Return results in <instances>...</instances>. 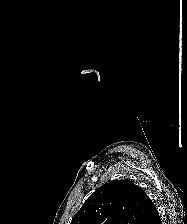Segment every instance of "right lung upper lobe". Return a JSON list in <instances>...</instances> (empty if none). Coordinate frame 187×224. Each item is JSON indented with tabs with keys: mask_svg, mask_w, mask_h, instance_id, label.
Returning a JSON list of instances; mask_svg holds the SVG:
<instances>
[{
	"mask_svg": "<svg viewBox=\"0 0 187 224\" xmlns=\"http://www.w3.org/2000/svg\"><path fill=\"white\" fill-rule=\"evenodd\" d=\"M71 224H162L145 192L129 180L99 187L73 217Z\"/></svg>",
	"mask_w": 187,
	"mask_h": 224,
	"instance_id": "obj_1",
	"label": "right lung upper lobe"
}]
</instances>
